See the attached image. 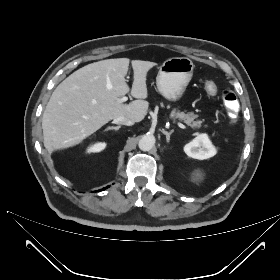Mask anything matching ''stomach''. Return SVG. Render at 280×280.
I'll return each mask as SVG.
<instances>
[{"label": "stomach", "mask_w": 280, "mask_h": 280, "mask_svg": "<svg viewBox=\"0 0 280 280\" xmlns=\"http://www.w3.org/2000/svg\"><path fill=\"white\" fill-rule=\"evenodd\" d=\"M194 70V64L188 57L167 59L159 67L156 77L158 92L167 100L176 102L183 96Z\"/></svg>", "instance_id": "stomach-1"}]
</instances>
